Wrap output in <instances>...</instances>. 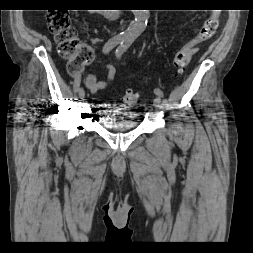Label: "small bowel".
I'll return each instance as SVG.
<instances>
[{"label":"small bowel","mask_w":253,"mask_h":253,"mask_svg":"<svg viewBox=\"0 0 253 253\" xmlns=\"http://www.w3.org/2000/svg\"><path fill=\"white\" fill-rule=\"evenodd\" d=\"M103 71L107 74L106 80H100L97 73H90L84 79V85L91 94H96L98 91L108 88L118 75L115 67L109 64L103 66ZM77 79H80V76Z\"/></svg>","instance_id":"1"}]
</instances>
